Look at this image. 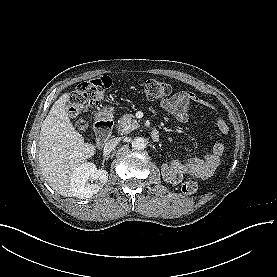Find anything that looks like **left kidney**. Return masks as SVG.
I'll use <instances>...</instances> for the list:
<instances>
[{
	"label": "left kidney",
	"mask_w": 277,
	"mask_h": 277,
	"mask_svg": "<svg viewBox=\"0 0 277 277\" xmlns=\"http://www.w3.org/2000/svg\"><path fill=\"white\" fill-rule=\"evenodd\" d=\"M162 177L164 180L169 182H176V177L180 176L182 177V171L178 170L176 168H171L167 164H163L161 168Z\"/></svg>",
	"instance_id": "1"
}]
</instances>
